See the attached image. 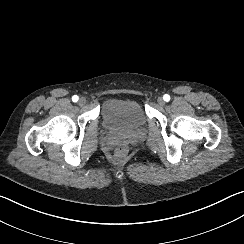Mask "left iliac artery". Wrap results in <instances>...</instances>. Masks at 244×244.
Masks as SVG:
<instances>
[{
  "mask_svg": "<svg viewBox=\"0 0 244 244\" xmlns=\"http://www.w3.org/2000/svg\"><path fill=\"white\" fill-rule=\"evenodd\" d=\"M163 99L168 102L170 100V96L168 94H165Z\"/></svg>",
  "mask_w": 244,
  "mask_h": 244,
  "instance_id": "left-iliac-artery-1",
  "label": "left iliac artery"
}]
</instances>
